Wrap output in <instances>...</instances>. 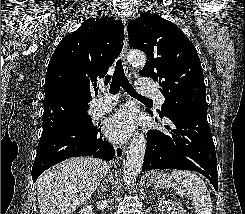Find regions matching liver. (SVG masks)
Segmentation results:
<instances>
[{
    "instance_id": "obj_1",
    "label": "liver",
    "mask_w": 245,
    "mask_h": 214,
    "mask_svg": "<svg viewBox=\"0 0 245 214\" xmlns=\"http://www.w3.org/2000/svg\"><path fill=\"white\" fill-rule=\"evenodd\" d=\"M96 158H72L45 171L37 180L40 214H72L87 202L109 171Z\"/></svg>"
}]
</instances>
